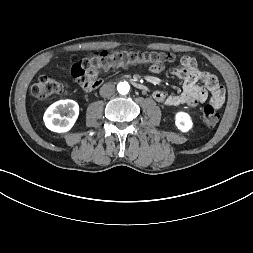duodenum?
<instances>
[{
	"label": "duodenum",
	"mask_w": 253,
	"mask_h": 253,
	"mask_svg": "<svg viewBox=\"0 0 253 253\" xmlns=\"http://www.w3.org/2000/svg\"><path fill=\"white\" fill-rule=\"evenodd\" d=\"M137 86L140 88V89H145V87L141 84H137Z\"/></svg>",
	"instance_id": "410a0bca"
}]
</instances>
